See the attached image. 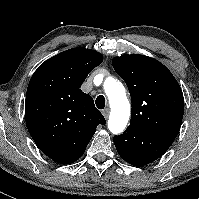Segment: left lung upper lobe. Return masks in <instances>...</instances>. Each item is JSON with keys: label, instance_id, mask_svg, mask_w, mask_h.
<instances>
[{"label": "left lung upper lobe", "instance_id": "5c2ea615", "mask_svg": "<svg viewBox=\"0 0 199 199\" xmlns=\"http://www.w3.org/2000/svg\"><path fill=\"white\" fill-rule=\"evenodd\" d=\"M112 65L128 86L130 125L173 142L179 132L184 98L172 73L156 59L125 54Z\"/></svg>", "mask_w": 199, "mask_h": 199}]
</instances>
